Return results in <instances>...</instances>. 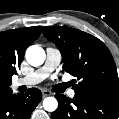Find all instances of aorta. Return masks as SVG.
Listing matches in <instances>:
<instances>
[{"instance_id": "aorta-1", "label": "aorta", "mask_w": 119, "mask_h": 119, "mask_svg": "<svg viewBox=\"0 0 119 119\" xmlns=\"http://www.w3.org/2000/svg\"><path fill=\"white\" fill-rule=\"evenodd\" d=\"M26 60L32 66H40L45 61V51L38 45H32L26 50ZM58 102L54 97H47L43 100V108L46 111L53 112L57 109Z\"/></svg>"}]
</instances>
